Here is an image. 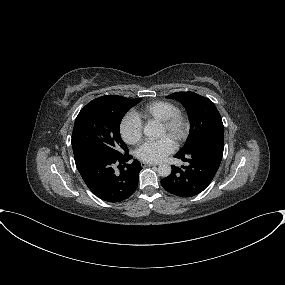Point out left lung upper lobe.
I'll use <instances>...</instances> for the list:
<instances>
[{
	"label": "left lung upper lobe",
	"mask_w": 285,
	"mask_h": 285,
	"mask_svg": "<svg viewBox=\"0 0 285 285\" xmlns=\"http://www.w3.org/2000/svg\"><path fill=\"white\" fill-rule=\"evenodd\" d=\"M167 98L180 101L190 119V133L180 152L193 148L208 137L224 134L222 118L210 99L194 92H177Z\"/></svg>",
	"instance_id": "5c2ea615"
}]
</instances>
